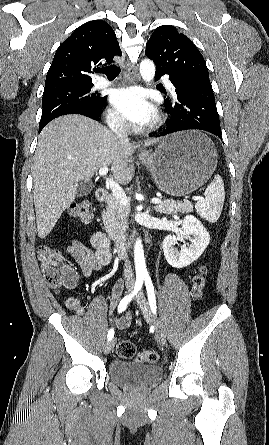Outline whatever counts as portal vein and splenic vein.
<instances>
[{
    "label": "portal vein and splenic vein",
    "mask_w": 269,
    "mask_h": 445,
    "mask_svg": "<svg viewBox=\"0 0 269 445\" xmlns=\"http://www.w3.org/2000/svg\"><path fill=\"white\" fill-rule=\"evenodd\" d=\"M108 173V167H102L99 169V175L100 176H106ZM107 184L111 188L113 195L115 198L119 201L120 204L127 206L129 203V200L125 194V192L122 190V188L119 186L118 183H116L113 179H107ZM194 200H201L202 197L200 196H194ZM154 204H160L163 201H161L159 198H153L151 200Z\"/></svg>",
    "instance_id": "1"
}]
</instances>
